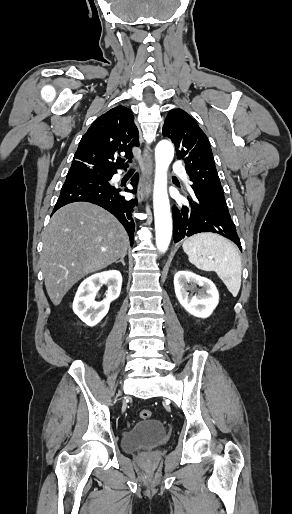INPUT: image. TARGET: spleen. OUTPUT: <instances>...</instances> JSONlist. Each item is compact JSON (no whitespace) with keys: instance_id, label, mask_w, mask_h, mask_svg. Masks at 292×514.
I'll return each instance as SVG.
<instances>
[{"instance_id":"spleen-1","label":"spleen","mask_w":292,"mask_h":514,"mask_svg":"<svg viewBox=\"0 0 292 514\" xmlns=\"http://www.w3.org/2000/svg\"><path fill=\"white\" fill-rule=\"evenodd\" d=\"M182 248L191 264L204 272H216L236 298L241 288L242 262L237 248L229 240L206 232L187 238Z\"/></svg>"}]
</instances>
